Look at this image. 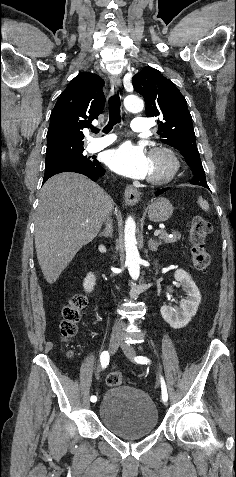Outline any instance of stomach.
I'll use <instances>...</instances> for the list:
<instances>
[{"label": "stomach", "mask_w": 236, "mask_h": 477, "mask_svg": "<svg viewBox=\"0 0 236 477\" xmlns=\"http://www.w3.org/2000/svg\"><path fill=\"white\" fill-rule=\"evenodd\" d=\"M173 210L174 208L168 199L157 198L148 206V217L152 222H165L172 216Z\"/></svg>", "instance_id": "0dacf381"}]
</instances>
